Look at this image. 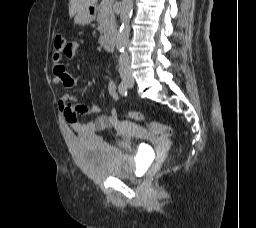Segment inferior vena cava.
Segmentation results:
<instances>
[{
	"label": "inferior vena cava",
	"mask_w": 256,
	"mask_h": 228,
	"mask_svg": "<svg viewBox=\"0 0 256 228\" xmlns=\"http://www.w3.org/2000/svg\"><path fill=\"white\" fill-rule=\"evenodd\" d=\"M118 66L120 76H124L131 73L130 59L126 51L119 56Z\"/></svg>",
	"instance_id": "obj_1"
}]
</instances>
